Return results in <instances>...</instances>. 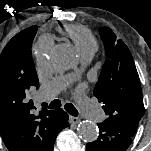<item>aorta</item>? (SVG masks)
Returning a JSON list of instances; mask_svg holds the SVG:
<instances>
[{
    "label": "aorta",
    "mask_w": 151,
    "mask_h": 151,
    "mask_svg": "<svg viewBox=\"0 0 151 151\" xmlns=\"http://www.w3.org/2000/svg\"><path fill=\"white\" fill-rule=\"evenodd\" d=\"M74 57V51L69 45H59L54 49L52 61L59 67L66 68L73 64ZM77 131L85 142L96 140L99 133L97 125L91 121L79 123Z\"/></svg>",
    "instance_id": "obj_1"
}]
</instances>
